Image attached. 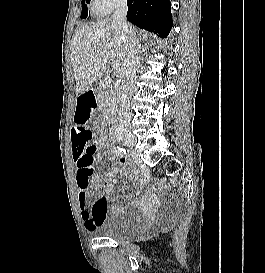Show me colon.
<instances>
[{
  "instance_id": "colon-1",
  "label": "colon",
  "mask_w": 265,
  "mask_h": 273,
  "mask_svg": "<svg viewBox=\"0 0 265 273\" xmlns=\"http://www.w3.org/2000/svg\"><path fill=\"white\" fill-rule=\"evenodd\" d=\"M79 124H85V123H79ZM81 139L84 142H89V147H88L89 157L87 159V164L94 165V161H95L94 153L96 151V143L94 141L93 134L91 133V131H89L87 129H82ZM98 207H99V205L96 204L95 205L96 210L98 209Z\"/></svg>"
}]
</instances>
